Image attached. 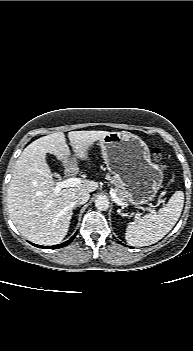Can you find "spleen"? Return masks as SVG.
Here are the masks:
<instances>
[{
  "instance_id": "spleen-1",
  "label": "spleen",
  "mask_w": 193,
  "mask_h": 351,
  "mask_svg": "<svg viewBox=\"0 0 193 351\" xmlns=\"http://www.w3.org/2000/svg\"><path fill=\"white\" fill-rule=\"evenodd\" d=\"M184 205V193L176 191L166 206L128 223L125 239L133 246H148L161 240L177 223Z\"/></svg>"
}]
</instances>
